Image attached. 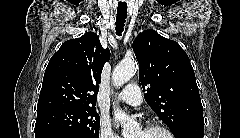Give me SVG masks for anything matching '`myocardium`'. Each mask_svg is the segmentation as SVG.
Returning <instances> with one entry per match:
<instances>
[{
	"instance_id": "obj_1",
	"label": "myocardium",
	"mask_w": 240,
	"mask_h": 138,
	"mask_svg": "<svg viewBox=\"0 0 240 138\" xmlns=\"http://www.w3.org/2000/svg\"><path fill=\"white\" fill-rule=\"evenodd\" d=\"M145 129L146 130H157V131L164 133L166 135V138H173L172 132L169 129H167L166 127H164L158 123H150L146 126Z\"/></svg>"
}]
</instances>
